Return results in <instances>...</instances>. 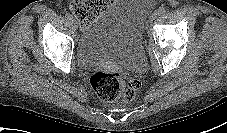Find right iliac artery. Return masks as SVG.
I'll return each mask as SVG.
<instances>
[{"label": "right iliac artery", "instance_id": "1", "mask_svg": "<svg viewBox=\"0 0 227 133\" xmlns=\"http://www.w3.org/2000/svg\"><path fill=\"white\" fill-rule=\"evenodd\" d=\"M65 18H66L67 20H71L73 17H72L71 14L66 13V14H65Z\"/></svg>", "mask_w": 227, "mask_h": 133}]
</instances>
